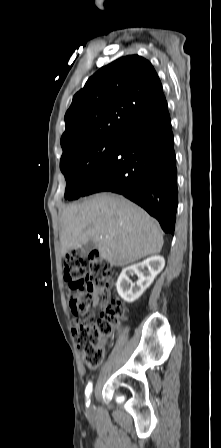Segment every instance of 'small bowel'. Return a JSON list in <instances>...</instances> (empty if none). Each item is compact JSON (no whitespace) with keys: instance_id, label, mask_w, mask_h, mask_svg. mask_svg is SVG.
<instances>
[{"instance_id":"small-bowel-1","label":"small bowel","mask_w":221,"mask_h":448,"mask_svg":"<svg viewBox=\"0 0 221 448\" xmlns=\"http://www.w3.org/2000/svg\"><path fill=\"white\" fill-rule=\"evenodd\" d=\"M108 303H109V295H108V293L102 294V299L101 300L99 299L98 295H95L93 297L91 307L95 308V307L100 306L102 308H105ZM74 324H76V321H74Z\"/></svg>"}]
</instances>
